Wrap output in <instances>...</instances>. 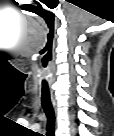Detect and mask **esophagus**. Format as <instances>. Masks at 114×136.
<instances>
[{"label": "esophagus", "mask_w": 114, "mask_h": 136, "mask_svg": "<svg viewBox=\"0 0 114 136\" xmlns=\"http://www.w3.org/2000/svg\"><path fill=\"white\" fill-rule=\"evenodd\" d=\"M51 99H52L53 105L55 106L56 101H55V98H54V95H53V91H51Z\"/></svg>", "instance_id": "1"}]
</instances>
